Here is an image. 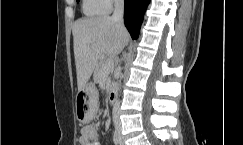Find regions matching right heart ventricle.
<instances>
[{"label": "right heart ventricle", "instance_id": "obj_1", "mask_svg": "<svg viewBox=\"0 0 243 145\" xmlns=\"http://www.w3.org/2000/svg\"><path fill=\"white\" fill-rule=\"evenodd\" d=\"M82 9L90 17L106 14L109 10L102 0H83Z\"/></svg>", "mask_w": 243, "mask_h": 145}]
</instances>
